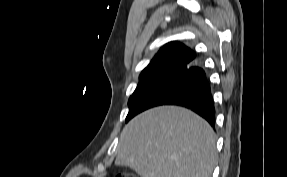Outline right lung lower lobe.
I'll return each instance as SVG.
<instances>
[{"label":"right lung lower lobe","instance_id":"98d812e1","mask_svg":"<svg viewBox=\"0 0 287 177\" xmlns=\"http://www.w3.org/2000/svg\"><path fill=\"white\" fill-rule=\"evenodd\" d=\"M159 105H179L191 109L215 126V107L204 70L192 62L181 65L157 79L130 107L134 117ZM131 117V118H132Z\"/></svg>","mask_w":287,"mask_h":177}]
</instances>
